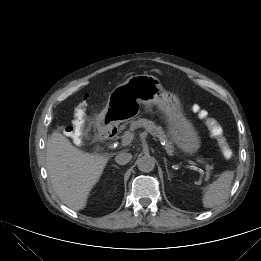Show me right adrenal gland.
Segmentation results:
<instances>
[{
    "instance_id": "2a0ac1e0",
    "label": "right adrenal gland",
    "mask_w": 261,
    "mask_h": 261,
    "mask_svg": "<svg viewBox=\"0 0 261 261\" xmlns=\"http://www.w3.org/2000/svg\"><path fill=\"white\" fill-rule=\"evenodd\" d=\"M117 169H119V167L118 166H116V165H114Z\"/></svg>"
}]
</instances>
